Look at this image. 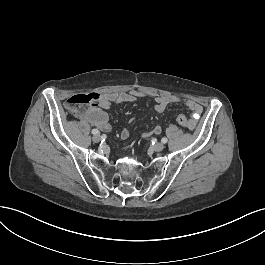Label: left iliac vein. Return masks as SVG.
<instances>
[{
	"label": "left iliac vein",
	"instance_id": "4c4485c4",
	"mask_svg": "<svg viewBox=\"0 0 265 265\" xmlns=\"http://www.w3.org/2000/svg\"><path fill=\"white\" fill-rule=\"evenodd\" d=\"M155 151H162L164 149V144L159 142L153 145Z\"/></svg>",
	"mask_w": 265,
	"mask_h": 265
}]
</instances>
